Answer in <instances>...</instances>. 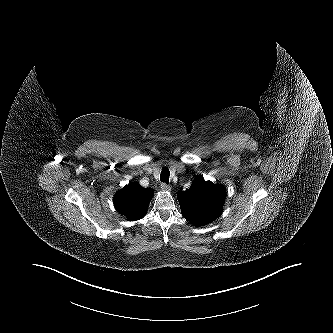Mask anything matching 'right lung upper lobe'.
<instances>
[{
  "mask_svg": "<svg viewBox=\"0 0 333 333\" xmlns=\"http://www.w3.org/2000/svg\"><path fill=\"white\" fill-rule=\"evenodd\" d=\"M153 190L137 183H129L114 196L115 208L130 221L141 219L147 213Z\"/></svg>",
  "mask_w": 333,
  "mask_h": 333,
  "instance_id": "right-lung-upper-lobe-1",
  "label": "right lung upper lobe"
}]
</instances>
